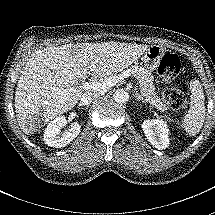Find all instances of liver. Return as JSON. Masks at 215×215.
Here are the masks:
<instances>
[{
  "label": "liver",
  "mask_w": 215,
  "mask_h": 215,
  "mask_svg": "<svg viewBox=\"0 0 215 215\" xmlns=\"http://www.w3.org/2000/svg\"><path fill=\"white\" fill-rule=\"evenodd\" d=\"M148 46L114 41L64 44L37 50L26 63L15 91L20 129L32 135L49 120L71 110L84 92L88 75L104 77L123 71Z\"/></svg>",
  "instance_id": "liver-1"
}]
</instances>
